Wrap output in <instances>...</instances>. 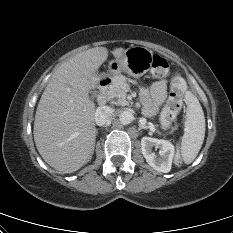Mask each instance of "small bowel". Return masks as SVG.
I'll use <instances>...</instances> for the list:
<instances>
[{
    "instance_id": "obj_1",
    "label": "small bowel",
    "mask_w": 233,
    "mask_h": 233,
    "mask_svg": "<svg viewBox=\"0 0 233 233\" xmlns=\"http://www.w3.org/2000/svg\"><path fill=\"white\" fill-rule=\"evenodd\" d=\"M151 99L146 106V111L149 114H154L158 107L161 106L167 96V81L160 80L155 82L151 88Z\"/></svg>"
}]
</instances>
